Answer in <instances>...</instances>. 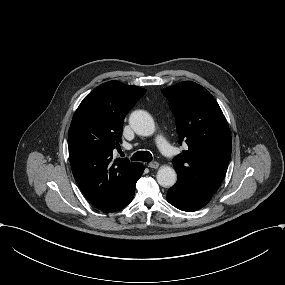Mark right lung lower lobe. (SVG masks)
I'll use <instances>...</instances> for the list:
<instances>
[{
  "label": "right lung lower lobe",
  "mask_w": 285,
  "mask_h": 285,
  "mask_svg": "<svg viewBox=\"0 0 285 285\" xmlns=\"http://www.w3.org/2000/svg\"><path fill=\"white\" fill-rule=\"evenodd\" d=\"M144 171V167L140 170V172L138 173L137 176H135V178L133 179V181L131 182L127 192L125 193L122 201L114 208L112 209L110 212H115L118 211L122 208H124L125 206H127L133 199L134 196V192H135V185L136 182L138 181V179L140 178V176L142 175Z\"/></svg>",
  "instance_id": "right-lung-lower-lobe-1"
}]
</instances>
